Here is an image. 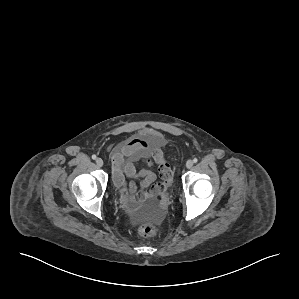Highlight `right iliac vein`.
Here are the masks:
<instances>
[{
    "instance_id": "obj_1",
    "label": "right iliac vein",
    "mask_w": 299,
    "mask_h": 299,
    "mask_svg": "<svg viewBox=\"0 0 299 299\" xmlns=\"http://www.w3.org/2000/svg\"><path fill=\"white\" fill-rule=\"evenodd\" d=\"M96 164H97V166L102 167L103 164H104V162H103V160L101 158H97L96 159Z\"/></svg>"
}]
</instances>
